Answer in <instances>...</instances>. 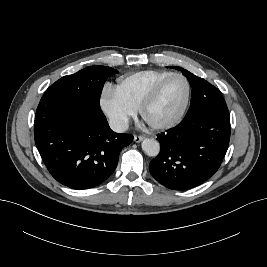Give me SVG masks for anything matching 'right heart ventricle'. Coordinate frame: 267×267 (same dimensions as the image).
I'll return each mask as SVG.
<instances>
[{"label": "right heart ventricle", "instance_id": "1", "mask_svg": "<svg viewBox=\"0 0 267 267\" xmlns=\"http://www.w3.org/2000/svg\"><path fill=\"white\" fill-rule=\"evenodd\" d=\"M169 74V71L157 70L136 72L119 78L114 89L127 104L137 110L152 88Z\"/></svg>", "mask_w": 267, "mask_h": 267}]
</instances>
